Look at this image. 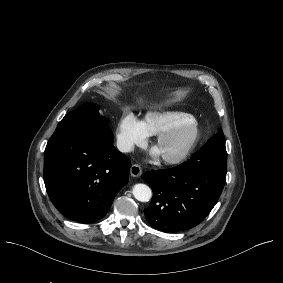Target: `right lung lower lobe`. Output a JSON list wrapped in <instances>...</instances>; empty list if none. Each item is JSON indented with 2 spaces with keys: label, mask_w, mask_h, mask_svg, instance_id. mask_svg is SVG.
Segmentation results:
<instances>
[{
  "label": "right lung lower lobe",
  "mask_w": 283,
  "mask_h": 283,
  "mask_svg": "<svg viewBox=\"0 0 283 283\" xmlns=\"http://www.w3.org/2000/svg\"><path fill=\"white\" fill-rule=\"evenodd\" d=\"M130 160L111 130L56 128L44 152L46 191L60 213L80 223L103 218L128 183Z\"/></svg>",
  "instance_id": "right-lung-lower-lobe-1"
}]
</instances>
